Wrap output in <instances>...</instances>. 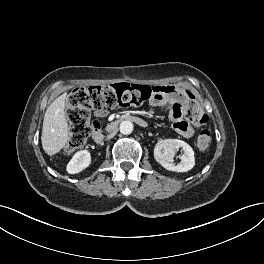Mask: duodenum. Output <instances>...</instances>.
<instances>
[{
    "mask_svg": "<svg viewBox=\"0 0 264 264\" xmlns=\"http://www.w3.org/2000/svg\"><path fill=\"white\" fill-rule=\"evenodd\" d=\"M122 121L134 122V123H136L142 127L147 126V122L145 120H143L142 118L137 117V116H133V115H126V116L122 117L121 119L114 120V121L108 123L106 126V132H108V133L114 132L118 128L120 122H122ZM103 140H104V133L103 132L97 131L94 133L93 141L96 144H101L103 142Z\"/></svg>",
    "mask_w": 264,
    "mask_h": 264,
    "instance_id": "1",
    "label": "duodenum"
}]
</instances>
